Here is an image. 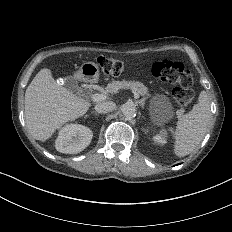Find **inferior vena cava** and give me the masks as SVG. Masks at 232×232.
<instances>
[{"label": "inferior vena cava", "mask_w": 232, "mask_h": 232, "mask_svg": "<svg viewBox=\"0 0 232 232\" xmlns=\"http://www.w3.org/2000/svg\"><path fill=\"white\" fill-rule=\"evenodd\" d=\"M116 105L113 102H102L95 106V110L100 114H106L115 110Z\"/></svg>", "instance_id": "602c4592"}]
</instances>
